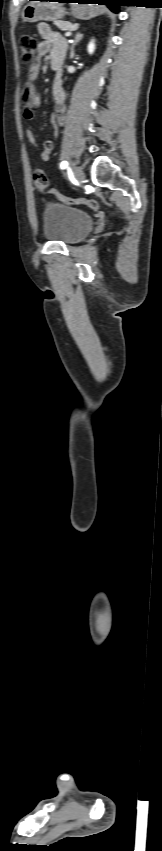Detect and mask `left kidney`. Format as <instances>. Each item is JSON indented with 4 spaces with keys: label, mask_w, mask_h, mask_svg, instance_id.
I'll list each match as a JSON object with an SVG mask.
<instances>
[{
    "label": "left kidney",
    "mask_w": 162,
    "mask_h": 851,
    "mask_svg": "<svg viewBox=\"0 0 162 851\" xmlns=\"http://www.w3.org/2000/svg\"><path fill=\"white\" fill-rule=\"evenodd\" d=\"M87 50H88V53H89V54H93V53H94V51H95V40H94V39H92V40L89 42L88 47H87Z\"/></svg>",
    "instance_id": "left-kidney-1"
}]
</instances>
